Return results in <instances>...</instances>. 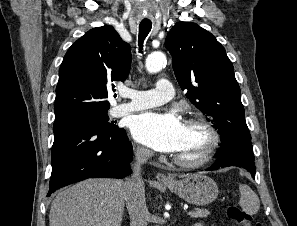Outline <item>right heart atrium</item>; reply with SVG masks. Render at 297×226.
I'll list each match as a JSON object with an SVG mask.
<instances>
[{"label":"right heart atrium","instance_id":"obj_1","mask_svg":"<svg viewBox=\"0 0 297 226\" xmlns=\"http://www.w3.org/2000/svg\"><path fill=\"white\" fill-rule=\"evenodd\" d=\"M137 155L141 158H145L149 155V152L146 149L139 147L137 149Z\"/></svg>","mask_w":297,"mask_h":226}]
</instances>
